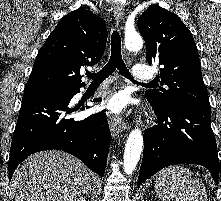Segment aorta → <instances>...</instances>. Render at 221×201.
Listing matches in <instances>:
<instances>
[{"instance_id": "762f6f07", "label": "aorta", "mask_w": 221, "mask_h": 201, "mask_svg": "<svg viewBox=\"0 0 221 201\" xmlns=\"http://www.w3.org/2000/svg\"><path fill=\"white\" fill-rule=\"evenodd\" d=\"M125 46L129 51L140 50L143 46V40L137 33L127 36ZM143 148V136L140 129H134L130 132L123 156V167L127 175H131L135 170Z\"/></svg>"}]
</instances>
